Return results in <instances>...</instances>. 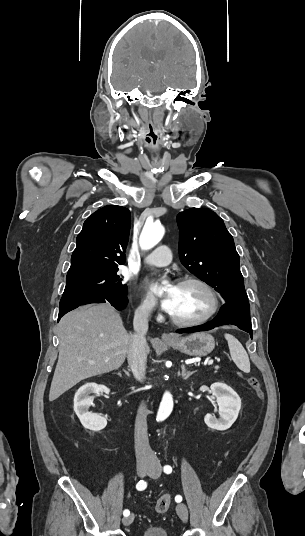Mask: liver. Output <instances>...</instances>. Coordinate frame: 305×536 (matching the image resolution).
Returning <instances> with one entry per match:
<instances>
[{
    "instance_id": "1",
    "label": "liver",
    "mask_w": 305,
    "mask_h": 536,
    "mask_svg": "<svg viewBox=\"0 0 305 536\" xmlns=\"http://www.w3.org/2000/svg\"><path fill=\"white\" fill-rule=\"evenodd\" d=\"M58 338L59 358L49 402L81 380L118 370L130 348V336L110 304H90L69 312L59 322Z\"/></svg>"
}]
</instances>
